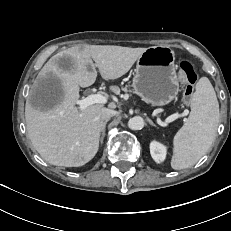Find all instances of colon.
I'll list each match as a JSON object with an SVG mask.
<instances>
[{"mask_svg": "<svg viewBox=\"0 0 231 231\" xmlns=\"http://www.w3.org/2000/svg\"><path fill=\"white\" fill-rule=\"evenodd\" d=\"M179 76L182 81L186 82L183 90V99L184 101H189L193 94V85L198 79V74L189 62L182 61L180 63Z\"/></svg>", "mask_w": 231, "mask_h": 231, "instance_id": "colon-1", "label": "colon"}]
</instances>
